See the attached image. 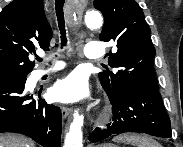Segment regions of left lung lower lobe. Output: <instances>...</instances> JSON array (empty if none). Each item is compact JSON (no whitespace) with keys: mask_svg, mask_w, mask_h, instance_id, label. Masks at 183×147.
Wrapping results in <instances>:
<instances>
[{"mask_svg":"<svg viewBox=\"0 0 183 147\" xmlns=\"http://www.w3.org/2000/svg\"><path fill=\"white\" fill-rule=\"evenodd\" d=\"M108 97L113 110L112 122L106 130L96 128L89 138L91 142L104 140L111 134L125 132L171 137L170 119L158 90L128 86L117 95Z\"/></svg>","mask_w":183,"mask_h":147,"instance_id":"left-lung-lower-lobe-1","label":"left lung lower lobe"}]
</instances>
